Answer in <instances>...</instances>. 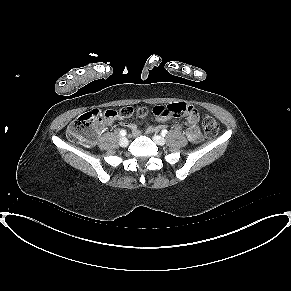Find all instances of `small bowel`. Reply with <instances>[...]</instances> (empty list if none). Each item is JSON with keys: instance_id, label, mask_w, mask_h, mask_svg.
Wrapping results in <instances>:
<instances>
[{"instance_id": "c3829d8e", "label": "small bowel", "mask_w": 291, "mask_h": 291, "mask_svg": "<svg viewBox=\"0 0 291 291\" xmlns=\"http://www.w3.org/2000/svg\"><path fill=\"white\" fill-rule=\"evenodd\" d=\"M165 121H166L165 117L164 118L159 117L158 123L148 126L147 131L149 133L158 131L160 128L165 127ZM186 126H187V129H186L187 140L191 143H198L201 140L202 136H201V130L199 127V117H198L197 112L187 114ZM129 127L135 136H139L141 134V130L135 123H131Z\"/></svg>"}]
</instances>
